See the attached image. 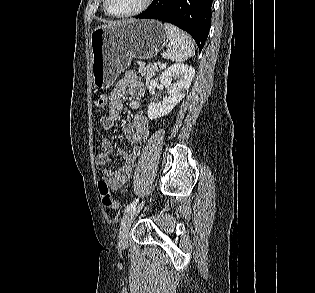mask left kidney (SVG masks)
<instances>
[{
    "label": "left kidney",
    "instance_id": "1",
    "mask_svg": "<svg viewBox=\"0 0 315 293\" xmlns=\"http://www.w3.org/2000/svg\"><path fill=\"white\" fill-rule=\"evenodd\" d=\"M195 75V69L183 63H176L168 67L160 76L161 84L167 89L169 96L159 103L151 102L147 114L150 120L169 114L173 108L185 97ZM172 79H177L172 83Z\"/></svg>",
    "mask_w": 315,
    "mask_h": 293
}]
</instances>
